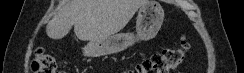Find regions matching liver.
<instances>
[{
  "label": "liver",
  "mask_w": 244,
  "mask_h": 73,
  "mask_svg": "<svg viewBox=\"0 0 244 73\" xmlns=\"http://www.w3.org/2000/svg\"><path fill=\"white\" fill-rule=\"evenodd\" d=\"M148 0H67L47 24L51 39L65 37L72 26L78 39L98 41L122 30Z\"/></svg>",
  "instance_id": "obj_1"
}]
</instances>
